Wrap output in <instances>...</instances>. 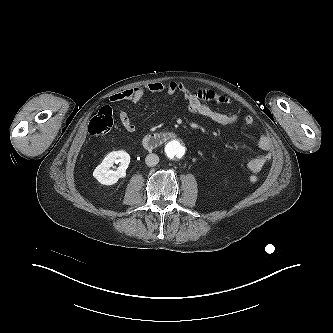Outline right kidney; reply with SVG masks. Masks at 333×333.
Returning a JSON list of instances; mask_svg holds the SVG:
<instances>
[{
    "label": "right kidney",
    "mask_w": 333,
    "mask_h": 333,
    "mask_svg": "<svg viewBox=\"0 0 333 333\" xmlns=\"http://www.w3.org/2000/svg\"><path fill=\"white\" fill-rule=\"evenodd\" d=\"M116 171L110 170L114 163H119ZM130 163V156L123 150L110 152L96 167L93 176L103 185H113L120 178L126 176V169Z\"/></svg>",
    "instance_id": "right-kidney-1"
}]
</instances>
